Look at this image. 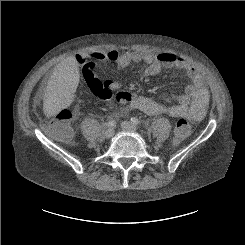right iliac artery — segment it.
I'll return each instance as SVG.
<instances>
[{
  "instance_id": "82829eb1",
  "label": "right iliac artery",
  "mask_w": 245,
  "mask_h": 245,
  "mask_svg": "<svg viewBox=\"0 0 245 245\" xmlns=\"http://www.w3.org/2000/svg\"><path fill=\"white\" fill-rule=\"evenodd\" d=\"M107 126L110 127V128H113L116 126V122L114 120H111L107 123Z\"/></svg>"
}]
</instances>
